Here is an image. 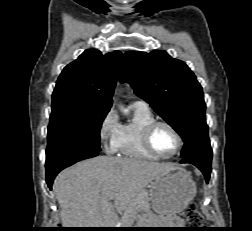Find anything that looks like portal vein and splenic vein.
I'll list each match as a JSON object with an SVG mask.
<instances>
[{
	"label": "portal vein and splenic vein",
	"mask_w": 252,
	"mask_h": 231,
	"mask_svg": "<svg viewBox=\"0 0 252 231\" xmlns=\"http://www.w3.org/2000/svg\"><path fill=\"white\" fill-rule=\"evenodd\" d=\"M115 197H116L115 195H112V196L109 197V200H114Z\"/></svg>",
	"instance_id": "portal-vein-and-splenic-vein-1"
}]
</instances>
